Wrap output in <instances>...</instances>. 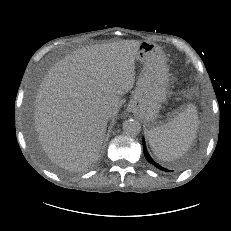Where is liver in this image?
Masks as SVG:
<instances>
[{
    "mask_svg": "<svg viewBox=\"0 0 231 231\" xmlns=\"http://www.w3.org/2000/svg\"><path fill=\"white\" fill-rule=\"evenodd\" d=\"M140 42L122 40L79 49L56 63L37 92L34 125L54 163L83 170L99 155L120 95L133 88ZM108 109V118L102 111Z\"/></svg>",
    "mask_w": 231,
    "mask_h": 231,
    "instance_id": "6515ba94",
    "label": "liver"
}]
</instances>
